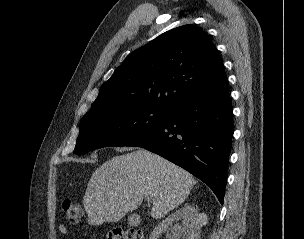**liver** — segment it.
<instances>
[{"label": "liver", "mask_w": 304, "mask_h": 239, "mask_svg": "<svg viewBox=\"0 0 304 239\" xmlns=\"http://www.w3.org/2000/svg\"><path fill=\"white\" fill-rule=\"evenodd\" d=\"M195 180L186 170L144 149L111 158L92 174L83 205L90 225L117 222L149 198L162 218L184 202Z\"/></svg>", "instance_id": "6515ba94"}]
</instances>
